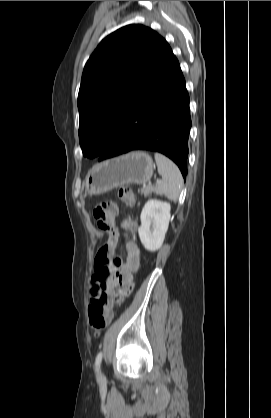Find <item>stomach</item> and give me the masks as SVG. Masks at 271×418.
<instances>
[{"instance_id":"0dacf381","label":"stomach","mask_w":271,"mask_h":418,"mask_svg":"<svg viewBox=\"0 0 271 418\" xmlns=\"http://www.w3.org/2000/svg\"><path fill=\"white\" fill-rule=\"evenodd\" d=\"M153 170V160L147 153L131 152L95 165L86 177V191L100 195L126 184H145Z\"/></svg>"}]
</instances>
